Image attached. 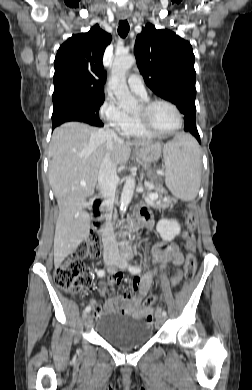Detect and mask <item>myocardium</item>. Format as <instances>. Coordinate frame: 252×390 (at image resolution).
<instances>
[{"label":"myocardium","mask_w":252,"mask_h":390,"mask_svg":"<svg viewBox=\"0 0 252 390\" xmlns=\"http://www.w3.org/2000/svg\"><path fill=\"white\" fill-rule=\"evenodd\" d=\"M160 103L170 106L177 115V119H178L177 125L171 130H168V131L156 130L155 128L152 127V125L148 119V114L150 113V111L153 109V107L155 105L160 104ZM142 107H143L144 113H143V115L136 116V120L139 124V127L145 133H147L153 137H162V136H169V135L175 134L176 132H178L182 128L183 115H182L180 109L177 107V105L174 104L173 102L166 100V99L158 98V99H152V100L145 101L143 103Z\"/></svg>","instance_id":"1"}]
</instances>
